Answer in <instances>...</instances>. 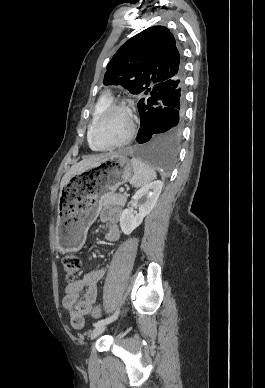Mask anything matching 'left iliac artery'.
<instances>
[{"label": "left iliac artery", "instance_id": "obj_1", "mask_svg": "<svg viewBox=\"0 0 265 388\" xmlns=\"http://www.w3.org/2000/svg\"><path fill=\"white\" fill-rule=\"evenodd\" d=\"M119 315V309L110 317L99 320L98 322L94 323V326L102 325V324H109L112 321H114Z\"/></svg>", "mask_w": 265, "mask_h": 388}]
</instances>
